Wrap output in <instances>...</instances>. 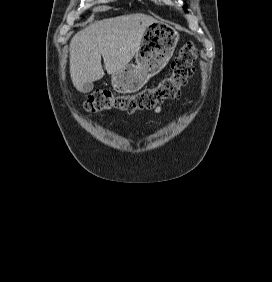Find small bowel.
I'll use <instances>...</instances> for the list:
<instances>
[{"label": "small bowel", "mask_w": 272, "mask_h": 282, "mask_svg": "<svg viewBox=\"0 0 272 282\" xmlns=\"http://www.w3.org/2000/svg\"><path fill=\"white\" fill-rule=\"evenodd\" d=\"M160 111H161V108H160V107H158V108L155 109V112H156V113H159Z\"/></svg>", "instance_id": "c3829d8e"}]
</instances>
